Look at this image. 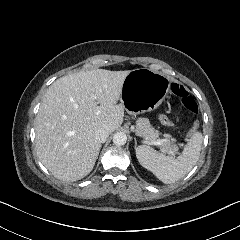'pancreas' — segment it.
<instances>
[{
	"instance_id": "1",
	"label": "pancreas",
	"mask_w": 240,
	"mask_h": 240,
	"mask_svg": "<svg viewBox=\"0 0 240 240\" xmlns=\"http://www.w3.org/2000/svg\"><path fill=\"white\" fill-rule=\"evenodd\" d=\"M135 123H136L135 129L136 135L142 137L147 141L157 140V138L160 135H162L153 127H151L148 118L138 117ZM176 142H177L176 139L172 138L170 135L165 134V139L158 146V149L163 153H166L170 156H174L175 154L178 153V146Z\"/></svg>"
}]
</instances>
